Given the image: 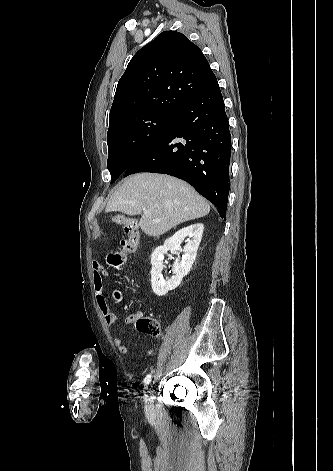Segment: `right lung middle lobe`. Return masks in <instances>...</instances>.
I'll return each mask as SVG.
<instances>
[{"label": "right lung middle lobe", "mask_w": 333, "mask_h": 471, "mask_svg": "<svg viewBox=\"0 0 333 471\" xmlns=\"http://www.w3.org/2000/svg\"><path fill=\"white\" fill-rule=\"evenodd\" d=\"M175 113L144 111L124 116L109 124L107 168L111 183L173 122Z\"/></svg>", "instance_id": "1"}]
</instances>
